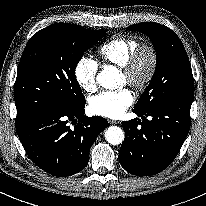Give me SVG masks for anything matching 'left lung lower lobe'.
Wrapping results in <instances>:
<instances>
[{"label":"left lung lower lobe","mask_w":206,"mask_h":206,"mask_svg":"<svg viewBox=\"0 0 206 206\" xmlns=\"http://www.w3.org/2000/svg\"><path fill=\"white\" fill-rule=\"evenodd\" d=\"M192 101L160 102L146 110H133L141 119L122 123L125 139L119 162L137 176L157 174L177 156L190 128Z\"/></svg>","instance_id":"1"}]
</instances>
